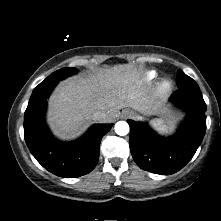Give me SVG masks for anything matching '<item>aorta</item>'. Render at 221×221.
<instances>
[{
  "mask_svg": "<svg viewBox=\"0 0 221 221\" xmlns=\"http://www.w3.org/2000/svg\"><path fill=\"white\" fill-rule=\"evenodd\" d=\"M115 132L120 136L127 135L129 133V125L125 121H119L115 124Z\"/></svg>",
  "mask_w": 221,
  "mask_h": 221,
  "instance_id": "obj_1",
  "label": "aorta"
}]
</instances>
